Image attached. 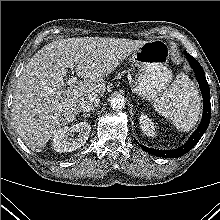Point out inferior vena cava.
I'll return each mask as SVG.
<instances>
[{
	"label": "inferior vena cava",
	"instance_id": "602c4592",
	"mask_svg": "<svg viewBox=\"0 0 220 220\" xmlns=\"http://www.w3.org/2000/svg\"><path fill=\"white\" fill-rule=\"evenodd\" d=\"M99 102H100V98L98 95L96 94L89 95L87 98L83 99L80 102L79 105L80 111L83 112L93 111L98 107Z\"/></svg>",
	"mask_w": 220,
	"mask_h": 220
}]
</instances>
